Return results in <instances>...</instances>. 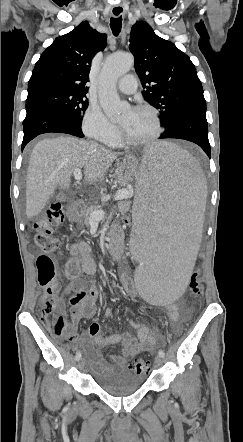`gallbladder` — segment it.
Listing matches in <instances>:
<instances>
[{
  "label": "gallbladder",
  "instance_id": "obj_1",
  "mask_svg": "<svg viewBox=\"0 0 243 442\" xmlns=\"http://www.w3.org/2000/svg\"><path fill=\"white\" fill-rule=\"evenodd\" d=\"M50 199L55 200V202L58 201V200L59 201H65L67 199V195L64 194L63 192H61L59 194L53 193V194H51Z\"/></svg>",
  "mask_w": 243,
  "mask_h": 442
}]
</instances>
